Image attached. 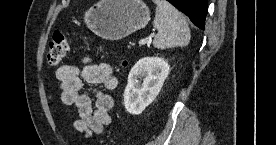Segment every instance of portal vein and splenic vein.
Listing matches in <instances>:
<instances>
[{"label":"portal vein and splenic vein","mask_w":276,"mask_h":145,"mask_svg":"<svg viewBox=\"0 0 276 145\" xmlns=\"http://www.w3.org/2000/svg\"><path fill=\"white\" fill-rule=\"evenodd\" d=\"M138 43H139V45H145L147 43V40L141 39Z\"/></svg>","instance_id":"portal-vein-and-splenic-vein-1"}]
</instances>
